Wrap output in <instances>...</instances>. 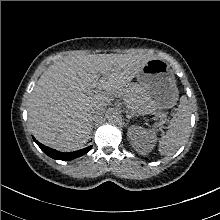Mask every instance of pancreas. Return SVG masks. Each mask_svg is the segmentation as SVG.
I'll use <instances>...</instances> for the list:
<instances>
[{"label":"pancreas","mask_w":220,"mask_h":220,"mask_svg":"<svg viewBox=\"0 0 220 220\" xmlns=\"http://www.w3.org/2000/svg\"><path fill=\"white\" fill-rule=\"evenodd\" d=\"M140 95V86L136 83H131L128 84L126 91L121 94V97H123L127 107L130 109H135L139 103Z\"/></svg>","instance_id":"obj_1"}]
</instances>
